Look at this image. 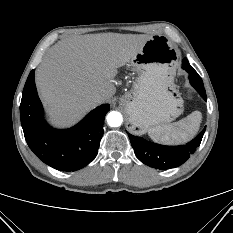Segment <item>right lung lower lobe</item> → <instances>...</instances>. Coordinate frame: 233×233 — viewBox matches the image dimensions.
Instances as JSON below:
<instances>
[{"label": "right lung lower lobe", "instance_id": "right-lung-lower-lobe-1", "mask_svg": "<svg viewBox=\"0 0 233 233\" xmlns=\"http://www.w3.org/2000/svg\"><path fill=\"white\" fill-rule=\"evenodd\" d=\"M32 70L24 86L20 104L21 124L26 142L45 164L61 171H76L97 155L103 135V121L110 110L103 104L92 110L76 126L57 130L43 119V108L37 95Z\"/></svg>", "mask_w": 233, "mask_h": 233}]
</instances>
